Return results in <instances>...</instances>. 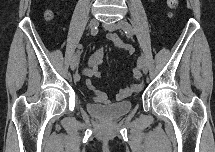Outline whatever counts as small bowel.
<instances>
[{
    "instance_id": "1",
    "label": "small bowel",
    "mask_w": 215,
    "mask_h": 152,
    "mask_svg": "<svg viewBox=\"0 0 215 152\" xmlns=\"http://www.w3.org/2000/svg\"><path fill=\"white\" fill-rule=\"evenodd\" d=\"M107 39L111 41L118 49L125 50L129 54L134 53L133 48L129 44L121 40L117 34H108ZM103 58L104 50L103 48H98L88 57L87 65L82 71L83 75L87 77L86 86L93 92L92 99L98 103H107L109 101L106 93L98 89L92 81V79H98L101 77ZM74 79L78 81L80 79V75L78 74L75 75ZM139 90H140L139 84H131L121 89L117 97L119 100H122L134 93H137Z\"/></svg>"
}]
</instances>
